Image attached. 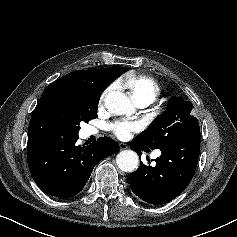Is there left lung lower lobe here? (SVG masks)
<instances>
[{"label": "left lung lower lobe", "instance_id": "1", "mask_svg": "<svg viewBox=\"0 0 237 237\" xmlns=\"http://www.w3.org/2000/svg\"><path fill=\"white\" fill-rule=\"evenodd\" d=\"M200 140V128L197 125L180 142L160 148L162 154L154 160V166H146L141 162L140 167L130 174L131 190L143 201L155 205L165 204L176 198L194 176ZM130 144L139 157L142 150H149L136 139Z\"/></svg>", "mask_w": 237, "mask_h": 237}]
</instances>
